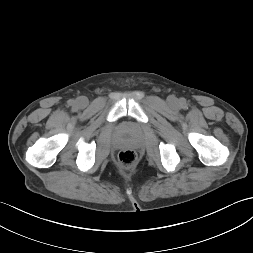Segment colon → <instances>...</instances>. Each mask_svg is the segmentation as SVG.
I'll list each match as a JSON object with an SVG mask.
<instances>
[{
	"mask_svg": "<svg viewBox=\"0 0 253 253\" xmlns=\"http://www.w3.org/2000/svg\"><path fill=\"white\" fill-rule=\"evenodd\" d=\"M137 160L136 152L132 149L121 150L118 154V161L121 167L131 168Z\"/></svg>",
	"mask_w": 253,
	"mask_h": 253,
	"instance_id": "obj_1",
	"label": "colon"
}]
</instances>
